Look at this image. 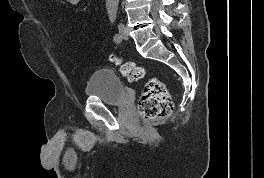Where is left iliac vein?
Segmentation results:
<instances>
[{"mask_svg":"<svg viewBox=\"0 0 264 178\" xmlns=\"http://www.w3.org/2000/svg\"><path fill=\"white\" fill-rule=\"evenodd\" d=\"M118 29H119L121 39L127 40L129 36L125 29V26L122 23H120L118 26Z\"/></svg>","mask_w":264,"mask_h":178,"instance_id":"obj_1","label":"left iliac vein"}]
</instances>
